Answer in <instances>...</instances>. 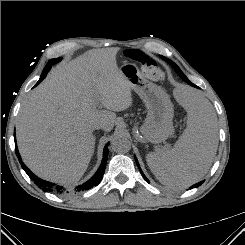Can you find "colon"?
Instances as JSON below:
<instances>
[{"instance_id": "obj_1", "label": "colon", "mask_w": 245, "mask_h": 245, "mask_svg": "<svg viewBox=\"0 0 245 245\" xmlns=\"http://www.w3.org/2000/svg\"><path fill=\"white\" fill-rule=\"evenodd\" d=\"M127 56L142 64L143 71L147 77L153 80H161L164 78V72L159 64L142 51L130 50L127 52Z\"/></svg>"}]
</instances>
